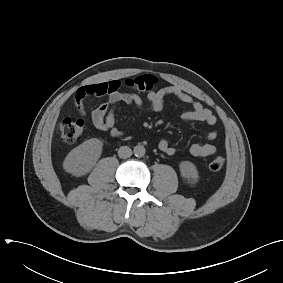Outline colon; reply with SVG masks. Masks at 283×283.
<instances>
[{
  "mask_svg": "<svg viewBox=\"0 0 283 283\" xmlns=\"http://www.w3.org/2000/svg\"><path fill=\"white\" fill-rule=\"evenodd\" d=\"M157 79L152 75H143L125 81V85L137 91H150L154 88ZM84 130L82 120L66 119L61 127V139L65 145H72L81 136ZM225 164L222 157H216L209 163L212 171L220 170Z\"/></svg>",
  "mask_w": 283,
  "mask_h": 283,
  "instance_id": "obj_1",
  "label": "colon"
}]
</instances>
